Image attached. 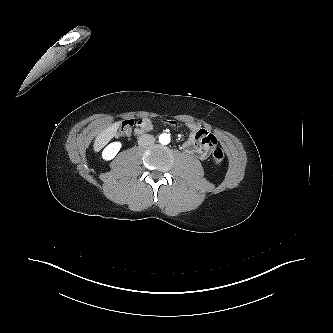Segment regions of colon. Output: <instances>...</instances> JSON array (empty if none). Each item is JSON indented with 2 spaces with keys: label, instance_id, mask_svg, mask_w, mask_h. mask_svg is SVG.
I'll use <instances>...</instances> for the list:
<instances>
[{
  "label": "colon",
  "instance_id": "1",
  "mask_svg": "<svg viewBox=\"0 0 333 333\" xmlns=\"http://www.w3.org/2000/svg\"><path fill=\"white\" fill-rule=\"evenodd\" d=\"M134 126V121L132 120H126L124 121L117 132L118 137H128L132 134ZM211 159L214 164L219 165L224 160V153L221 148L214 146L211 153Z\"/></svg>",
  "mask_w": 333,
  "mask_h": 333
}]
</instances>
